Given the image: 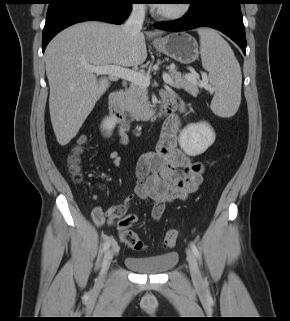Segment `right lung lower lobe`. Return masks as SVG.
I'll use <instances>...</instances> for the list:
<instances>
[{"label":"right lung lower lobe","instance_id":"obj_1","mask_svg":"<svg viewBox=\"0 0 290 321\" xmlns=\"http://www.w3.org/2000/svg\"><path fill=\"white\" fill-rule=\"evenodd\" d=\"M135 0H52L43 29L42 50L61 30L83 21L121 24L131 12Z\"/></svg>","mask_w":290,"mask_h":321}]
</instances>
